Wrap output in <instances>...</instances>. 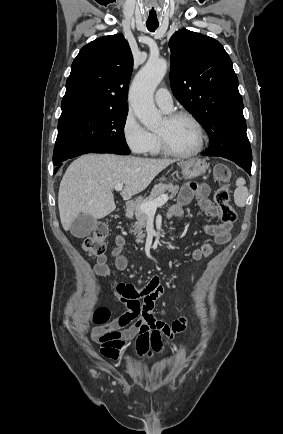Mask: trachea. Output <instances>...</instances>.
I'll return each mask as SVG.
<instances>
[{
  "label": "trachea",
  "instance_id": "obj_1",
  "mask_svg": "<svg viewBox=\"0 0 283 434\" xmlns=\"http://www.w3.org/2000/svg\"><path fill=\"white\" fill-rule=\"evenodd\" d=\"M146 26H147L149 31L154 32L158 28L159 24L147 22Z\"/></svg>",
  "mask_w": 283,
  "mask_h": 434
}]
</instances>
